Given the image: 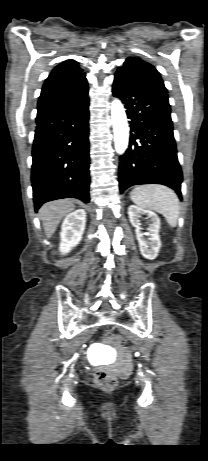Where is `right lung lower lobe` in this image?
<instances>
[{
  "instance_id": "right-lung-lower-lobe-1",
  "label": "right lung lower lobe",
  "mask_w": 208,
  "mask_h": 461,
  "mask_svg": "<svg viewBox=\"0 0 208 461\" xmlns=\"http://www.w3.org/2000/svg\"><path fill=\"white\" fill-rule=\"evenodd\" d=\"M89 98L37 114L31 181L35 210L48 201L89 198Z\"/></svg>"
}]
</instances>
